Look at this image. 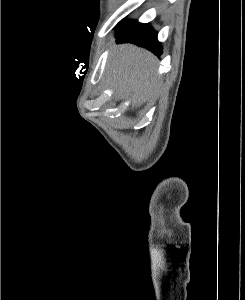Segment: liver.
Segmentation results:
<instances>
[{"label": "liver", "instance_id": "6515ba94", "mask_svg": "<svg viewBox=\"0 0 245 300\" xmlns=\"http://www.w3.org/2000/svg\"><path fill=\"white\" fill-rule=\"evenodd\" d=\"M156 57L131 44L114 48L109 61L110 79L120 99L133 96L132 106L141 105L156 84Z\"/></svg>", "mask_w": 245, "mask_h": 300}]
</instances>
